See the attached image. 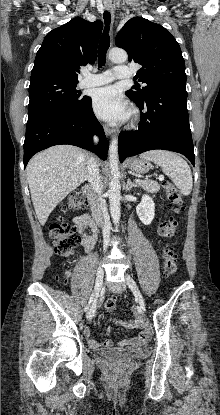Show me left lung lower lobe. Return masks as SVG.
Segmentation results:
<instances>
[{
    "label": "left lung lower lobe",
    "instance_id": "left-lung-lower-lobe-1",
    "mask_svg": "<svg viewBox=\"0 0 220 415\" xmlns=\"http://www.w3.org/2000/svg\"><path fill=\"white\" fill-rule=\"evenodd\" d=\"M132 100L141 111V123L136 131L120 133V161L148 150L164 149L185 155L194 166L186 84L159 86L145 100Z\"/></svg>",
    "mask_w": 220,
    "mask_h": 415
}]
</instances>
